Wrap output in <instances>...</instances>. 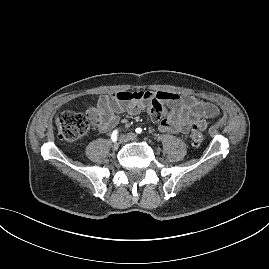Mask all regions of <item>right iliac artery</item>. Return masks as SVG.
Masks as SVG:
<instances>
[{
  "label": "right iliac artery",
  "mask_w": 269,
  "mask_h": 269,
  "mask_svg": "<svg viewBox=\"0 0 269 269\" xmlns=\"http://www.w3.org/2000/svg\"><path fill=\"white\" fill-rule=\"evenodd\" d=\"M117 136H118V131L114 130L111 134V139L113 142H115L117 140Z\"/></svg>",
  "instance_id": "1"
}]
</instances>
